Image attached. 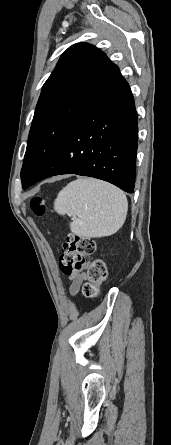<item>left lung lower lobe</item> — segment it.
I'll use <instances>...</instances> for the list:
<instances>
[{"instance_id": "1", "label": "left lung lower lobe", "mask_w": 171, "mask_h": 445, "mask_svg": "<svg viewBox=\"0 0 171 445\" xmlns=\"http://www.w3.org/2000/svg\"><path fill=\"white\" fill-rule=\"evenodd\" d=\"M137 144V113L125 82L70 128L23 188L50 176L77 174L105 180L133 193Z\"/></svg>"}]
</instances>
